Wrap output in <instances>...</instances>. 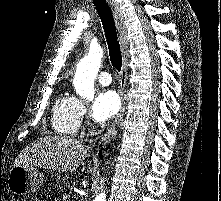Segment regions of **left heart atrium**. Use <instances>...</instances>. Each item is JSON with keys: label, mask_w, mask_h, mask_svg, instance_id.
<instances>
[{"label": "left heart atrium", "mask_w": 221, "mask_h": 201, "mask_svg": "<svg viewBox=\"0 0 221 201\" xmlns=\"http://www.w3.org/2000/svg\"><path fill=\"white\" fill-rule=\"evenodd\" d=\"M120 108V99L113 90H104L96 96L91 114L94 120L103 122L113 117Z\"/></svg>", "instance_id": "1"}]
</instances>
